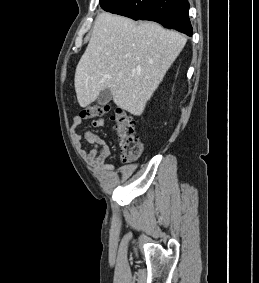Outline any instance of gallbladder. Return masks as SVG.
Wrapping results in <instances>:
<instances>
[{"label":"gallbladder","mask_w":259,"mask_h":283,"mask_svg":"<svg viewBox=\"0 0 259 283\" xmlns=\"http://www.w3.org/2000/svg\"><path fill=\"white\" fill-rule=\"evenodd\" d=\"M112 99L110 89H104L98 96L97 103L101 106L108 104Z\"/></svg>","instance_id":"1"}]
</instances>
